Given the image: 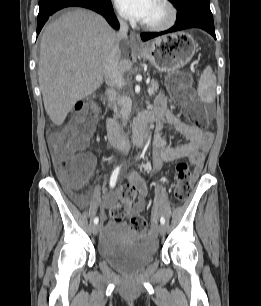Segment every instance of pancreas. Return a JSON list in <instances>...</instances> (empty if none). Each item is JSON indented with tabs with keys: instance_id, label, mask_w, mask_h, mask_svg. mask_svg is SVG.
Here are the masks:
<instances>
[{
	"instance_id": "1",
	"label": "pancreas",
	"mask_w": 261,
	"mask_h": 306,
	"mask_svg": "<svg viewBox=\"0 0 261 306\" xmlns=\"http://www.w3.org/2000/svg\"><path fill=\"white\" fill-rule=\"evenodd\" d=\"M149 88L151 90V93H149V95H153L159 89V83L157 81H151ZM131 108L132 101L130 97L126 95L122 96L113 107L115 117L121 119L124 123L127 122L131 113Z\"/></svg>"
}]
</instances>
